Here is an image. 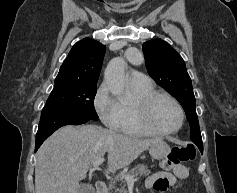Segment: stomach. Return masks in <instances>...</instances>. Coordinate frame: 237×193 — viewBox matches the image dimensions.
<instances>
[{"mask_svg":"<svg viewBox=\"0 0 237 193\" xmlns=\"http://www.w3.org/2000/svg\"><path fill=\"white\" fill-rule=\"evenodd\" d=\"M169 152V145L162 140H159L158 142L149 146V153L155 159L165 158Z\"/></svg>","mask_w":237,"mask_h":193,"instance_id":"1","label":"stomach"}]
</instances>
